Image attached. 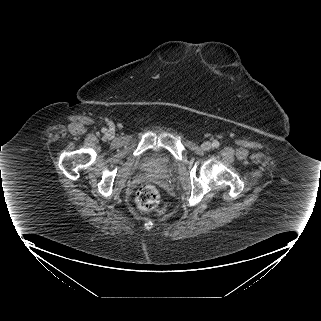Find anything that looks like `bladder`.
I'll return each instance as SVG.
<instances>
[{
	"label": "bladder",
	"mask_w": 321,
	"mask_h": 321,
	"mask_svg": "<svg viewBox=\"0 0 321 321\" xmlns=\"http://www.w3.org/2000/svg\"><path fill=\"white\" fill-rule=\"evenodd\" d=\"M143 170L152 176L164 177L171 172L172 164L169 160L151 155L143 161Z\"/></svg>",
	"instance_id": "1"
}]
</instances>
